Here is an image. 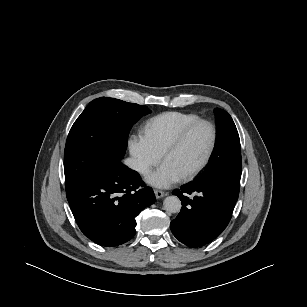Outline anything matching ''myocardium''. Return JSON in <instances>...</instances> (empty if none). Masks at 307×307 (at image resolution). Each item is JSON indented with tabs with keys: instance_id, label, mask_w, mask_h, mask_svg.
I'll return each mask as SVG.
<instances>
[{
	"instance_id": "obj_1",
	"label": "myocardium",
	"mask_w": 307,
	"mask_h": 307,
	"mask_svg": "<svg viewBox=\"0 0 307 307\" xmlns=\"http://www.w3.org/2000/svg\"><path fill=\"white\" fill-rule=\"evenodd\" d=\"M200 125H207L210 130H211V141H210V145L209 148L203 158V160L200 162V164L191 172H189L188 174L182 176V179L184 181H189L194 179L196 176H198L204 169L205 167L208 165L216 144H217V137H218V133H217V128L215 126V124L209 120L206 119H198L196 121L191 122L190 124L186 125L178 134L177 136L173 139V141L167 146V148L165 149V151L162 154V158L165 161V159L167 158V156H169L171 153H173L174 151H176L181 145L182 143L185 141V139L187 138V136L198 126Z\"/></svg>"
}]
</instances>
